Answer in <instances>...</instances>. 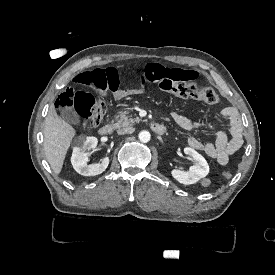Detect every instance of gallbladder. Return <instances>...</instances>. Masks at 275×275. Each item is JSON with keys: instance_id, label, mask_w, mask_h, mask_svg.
<instances>
[{"instance_id": "bac80fb5", "label": "gallbladder", "mask_w": 275, "mask_h": 275, "mask_svg": "<svg viewBox=\"0 0 275 275\" xmlns=\"http://www.w3.org/2000/svg\"><path fill=\"white\" fill-rule=\"evenodd\" d=\"M60 116L69 124L81 126L83 121L79 113L72 106H60L59 107Z\"/></svg>"}]
</instances>
